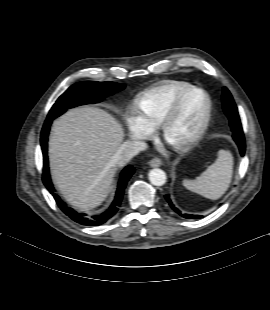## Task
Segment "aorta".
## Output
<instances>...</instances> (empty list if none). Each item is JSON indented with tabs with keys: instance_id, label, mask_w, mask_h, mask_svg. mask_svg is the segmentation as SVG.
<instances>
[{
	"instance_id": "aorta-1",
	"label": "aorta",
	"mask_w": 270,
	"mask_h": 310,
	"mask_svg": "<svg viewBox=\"0 0 270 310\" xmlns=\"http://www.w3.org/2000/svg\"><path fill=\"white\" fill-rule=\"evenodd\" d=\"M149 180L155 186H162L167 180L166 173L159 168L152 169L149 172Z\"/></svg>"
}]
</instances>
